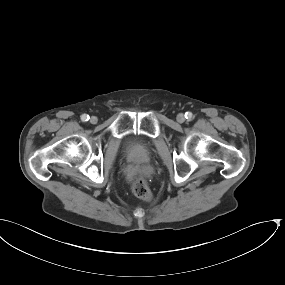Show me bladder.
<instances>
[{
  "label": "bladder",
  "mask_w": 285,
  "mask_h": 285,
  "mask_svg": "<svg viewBox=\"0 0 285 285\" xmlns=\"http://www.w3.org/2000/svg\"><path fill=\"white\" fill-rule=\"evenodd\" d=\"M126 153L132 161H145L152 152V144L145 138L132 136L124 144Z\"/></svg>",
  "instance_id": "obj_1"
}]
</instances>
